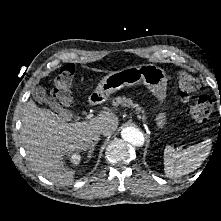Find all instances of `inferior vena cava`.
<instances>
[{
    "label": "inferior vena cava",
    "mask_w": 221,
    "mask_h": 221,
    "mask_svg": "<svg viewBox=\"0 0 221 221\" xmlns=\"http://www.w3.org/2000/svg\"><path fill=\"white\" fill-rule=\"evenodd\" d=\"M100 134L105 135V134H106V130H104V129L96 130V131L94 132V138H95V139L99 138V135H100Z\"/></svg>",
    "instance_id": "602c4592"
}]
</instances>
